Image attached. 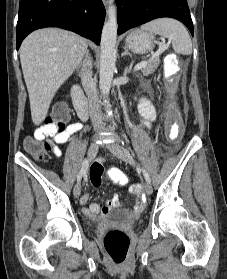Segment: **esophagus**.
I'll use <instances>...</instances> for the list:
<instances>
[{
  "label": "esophagus",
  "instance_id": "1",
  "mask_svg": "<svg viewBox=\"0 0 227 279\" xmlns=\"http://www.w3.org/2000/svg\"><path fill=\"white\" fill-rule=\"evenodd\" d=\"M103 2H104L105 5L109 4V0H103Z\"/></svg>",
  "mask_w": 227,
  "mask_h": 279
}]
</instances>
